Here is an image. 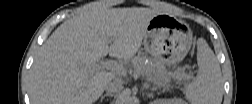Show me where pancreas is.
Masks as SVG:
<instances>
[{"label":"pancreas","instance_id":"1","mask_svg":"<svg viewBox=\"0 0 252 104\" xmlns=\"http://www.w3.org/2000/svg\"><path fill=\"white\" fill-rule=\"evenodd\" d=\"M130 71L145 75L148 81L162 87H168L172 80L180 82L188 79L187 75L182 70L177 69L174 72H171L160 62H149L145 64L143 60H139Z\"/></svg>","mask_w":252,"mask_h":104}]
</instances>
